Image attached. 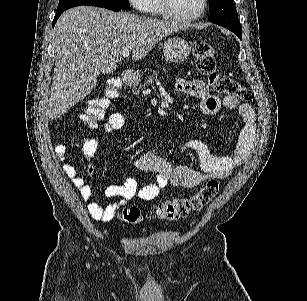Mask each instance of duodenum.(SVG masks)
<instances>
[{"label":"duodenum","instance_id":"obj_1","mask_svg":"<svg viewBox=\"0 0 307 301\" xmlns=\"http://www.w3.org/2000/svg\"><path fill=\"white\" fill-rule=\"evenodd\" d=\"M124 81L128 85H132L135 82V76L132 73H126L124 75Z\"/></svg>","mask_w":307,"mask_h":301}]
</instances>
